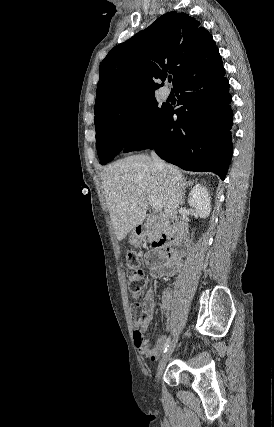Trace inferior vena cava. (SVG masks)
Here are the masks:
<instances>
[{"instance_id":"inferior-vena-cava-1","label":"inferior vena cava","mask_w":274,"mask_h":427,"mask_svg":"<svg viewBox=\"0 0 274 427\" xmlns=\"http://www.w3.org/2000/svg\"><path fill=\"white\" fill-rule=\"evenodd\" d=\"M151 158H152L156 168H160V170H164L165 162H163V160H160V158H158V156H157V154H155V152H151Z\"/></svg>"}]
</instances>
